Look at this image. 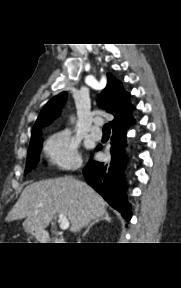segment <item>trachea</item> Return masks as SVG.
Segmentation results:
<instances>
[{"instance_id": "1", "label": "trachea", "mask_w": 181, "mask_h": 288, "mask_svg": "<svg viewBox=\"0 0 181 288\" xmlns=\"http://www.w3.org/2000/svg\"><path fill=\"white\" fill-rule=\"evenodd\" d=\"M103 131H104V132H110V124L106 123V124L103 126Z\"/></svg>"}]
</instances>
